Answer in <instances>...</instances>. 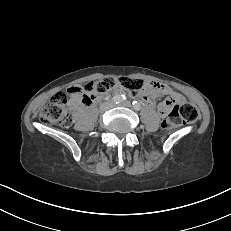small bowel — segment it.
Returning <instances> with one entry per match:
<instances>
[{
	"mask_svg": "<svg viewBox=\"0 0 231 231\" xmlns=\"http://www.w3.org/2000/svg\"><path fill=\"white\" fill-rule=\"evenodd\" d=\"M149 86H155V93H144L142 95V99L150 106H155V102L152 99L153 95H157V94H164L167 96V100L163 103H160L157 108L158 111L161 115H165V112L168 110L169 105L171 103H178V104H182L184 102V97L182 95H180L177 92H174L172 89H170L167 86L161 85V84H157V83H148ZM122 90L121 87H115L113 89L114 92H120ZM72 96V98L77 101V102H82L83 100V93L81 91V88L79 86H73L71 88H69L68 90ZM99 96L95 97V100L99 99ZM94 100V101H95ZM82 105V104H81ZM81 105L78 108V114H80V110H81Z\"/></svg>",
	"mask_w": 231,
	"mask_h": 231,
	"instance_id": "small-bowel-1",
	"label": "small bowel"
}]
</instances>
